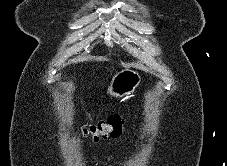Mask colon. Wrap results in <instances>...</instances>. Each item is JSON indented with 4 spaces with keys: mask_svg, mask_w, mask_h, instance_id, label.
<instances>
[{
    "mask_svg": "<svg viewBox=\"0 0 227 166\" xmlns=\"http://www.w3.org/2000/svg\"><path fill=\"white\" fill-rule=\"evenodd\" d=\"M124 126V119L120 115H111L106 120L87 126L83 133L92 140L116 138L121 135Z\"/></svg>",
    "mask_w": 227,
    "mask_h": 166,
    "instance_id": "1",
    "label": "colon"
}]
</instances>
